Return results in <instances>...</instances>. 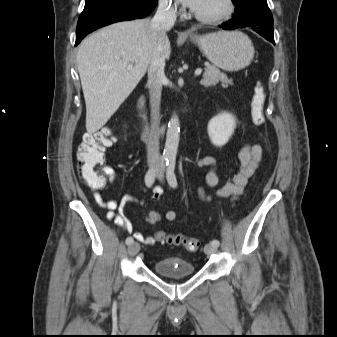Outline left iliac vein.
Listing matches in <instances>:
<instances>
[{
  "mask_svg": "<svg viewBox=\"0 0 337 337\" xmlns=\"http://www.w3.org/2000/svg\"><path fill=\"white\" fill-rule=\"evenodd\" d=\"M156 177L159 180L163 179V169L162 168L157 171ZM204 252L207 255L215 254L217 252V247L213 246L212 244H207V245H205Z\"/></svg>",
  "mask_w": 337,
  "mask_h": 337,
  "instance_id": "1",
  "label": "left iliac vein"
}]
</instances>
